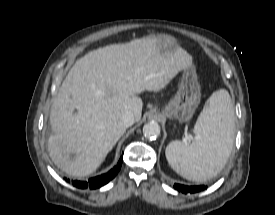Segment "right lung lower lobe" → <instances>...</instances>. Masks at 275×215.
Returning a JSON list of instances; mask_svg holds the SVG:
<instances>
[{
    "mask_svg": "<svg viewBox=\"0 0 275 215\" xmlns=\"http://www.w3.org/2000/svg\"><path fill=\"white\" fill-rule=\"evenodd\" d=\"M123 160V154L119 159V162L117 166H115L112 170H110L108 173L94 177L89 179L88 182H81V181H74L73 185L78 188H90V189H96L99 188L105 184H107L110 180H112L117 173L119 172ZM69 182V179L67 180Z\"/></svg>",
    "mask_w": 275,
    "mask_h": 215,
    "instance_id": "obj_1",
    "label": "right lung lower lobe"
}]
</instances>
